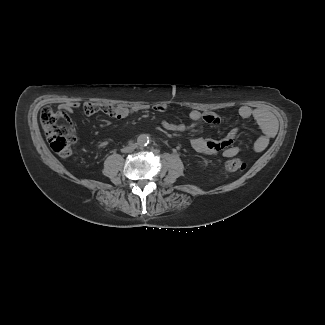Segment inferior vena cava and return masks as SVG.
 I'll return each mask as SVG.
<instances>
[{
  "mask_svg": "<svg viewBox=\"0 0 325 325\" xmlns=\"http://www.w3.org/2000/svg\"><path fill=\"white\" fill-rule=\"evenodd\" d=\"M134 149H135V145L132 144V145H130V146L124 147V148L122 149V152H124V153H129V152H132Z\"/></svg>",
  "mask_w": 325,
  "mask_h": 325,
  "instance_id": "inferior-vena-cava-1",
  "label": "inferior vena cava"
}]
</instances>
